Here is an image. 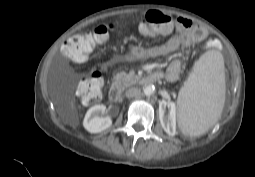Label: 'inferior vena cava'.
Instances as JSON below:
<instances>
[{"instance_id": "1", "label": "inferior vena cava", "mask_w": 255, "mask_h": 177, "mask_svg": "<svg viewBox=\"0 0 255 177\" xmlns=\"http://www.w3.org/2000/svg\"><path fill=\"white\" fill-rule=\"evenodd\" d=\"M141 95V90L136 88V87H132V88H129L127 91H126V97L127 98H133V97H138Z\"/></svg>"}]
</instances>
